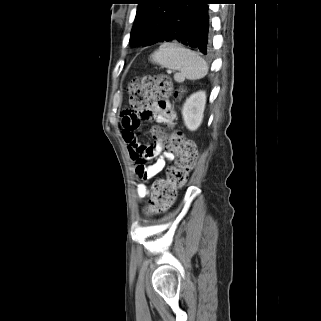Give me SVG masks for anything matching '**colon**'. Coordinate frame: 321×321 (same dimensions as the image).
Segmentation results:
<instances>
[{
  "label": "colon",
  "instance_id": "1",
  "mask_svg": "<svg viewBox=\"0 0 321 321\" xmlns=\"http://www.w3.org/2000/svg\"><path fill=\"white\" fill-rule=\"evenodd\" d=\"M128 93L132 109L143 110L174 92L170 79L159 75L132 79L128 85ZM161 133V129L157 128V135L160 136ZM167 148L176 154V165L168 169L166 179L154 183L152 197L146 209L148 214H158L171 207L178 189L184 186L189 172L197 161L198 152L195 143L185 138L180 131L170 135Z\"/></svg>",
  "mask_w": 321,
  "mask_h": 321
}]
</instances>
